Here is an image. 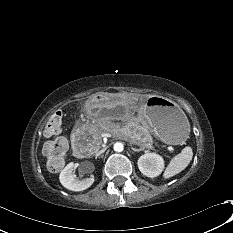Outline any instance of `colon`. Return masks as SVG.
<instances>
[{"mask_svg": "<svg viewBox=\"0 0 233 233\" xmlns=\"http://www.w3.org/2000/svg\"><path fill=\"white\" fill-rule=\"evenodd\" d=\"M62 129V113L55 112L48 120L45 127L47 136H57ZM44 155L47 157L48 167L51 170L61 169L64 165L67 152V142L62 137H56L47 142L43 148Z\"/></svg>", "mask_w": 233, "mask_h": 233, "instance_id": "obj_1", "label": "colon"}]
</instances>
